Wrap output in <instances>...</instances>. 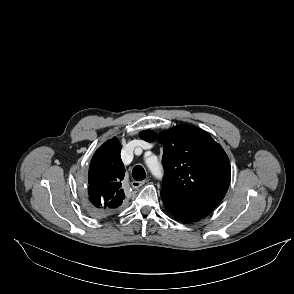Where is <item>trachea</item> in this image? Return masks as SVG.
Segmentation results:
<instances>
[{"mask_svg":"<svg viewBox=\"0 0 294 294\" xmlns=\"http://www.w3.org/2000/svg\"><path fill=\"white\" fill-rule=\"evenodd\" d=\"M132 176L136 181H142L146 178L145 170L142 166L137 165L132 170Z\"/></svg>","mask_w":294,"mask_h":294,"instance_id":"3493384b","label":"trachea"}]
</instances>
